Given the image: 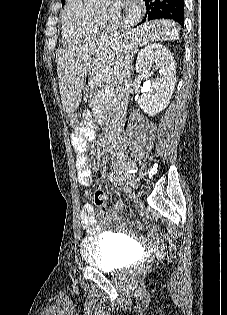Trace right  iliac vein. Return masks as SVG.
<instances>
[{
    "mask_svg": "<svg viewBox=\"0 0 227 315\" xmlns=\"http://www.w3.org/2000/svg\"><path fill=\"white\" fill-rule=\"evenodd\" d=\"M119 175H121V179L127 183L130 184L131 186L135 187L136 186V181L128 174L119 172Z\"/></svg>",
    "mask_w": 227,
    "mask_h": 315,
    "instance_id": "1",
    "label": "right iliac vein"
}]
</instances>
